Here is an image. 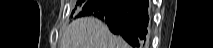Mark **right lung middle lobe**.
Wrapping results in <instances>:
<instances>
[{"mask_svg": "<svg viewBox=\"0 0 213 48\" xmlns=\"http://www.w3.org/2000/svg\"><path fill=\"white\" fill-rule=\"evenodd\" d=\"M86 2H87V0H78L77 3H76L75 9L78 8V10H80L85 5ZM74 12H75V10H73L72 14ZM78 17H79V14H78Z\"/></svg>", "mask_w": 213, "mask_h": 48, "instance_id": "right-lung-middle-lobe-1", "label": "right lung middle lobe"}]
</instances>
